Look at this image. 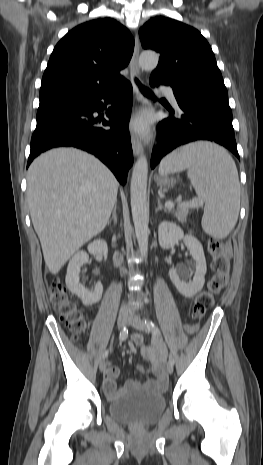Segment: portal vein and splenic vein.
I'll return each instance as SVG.
<instances>
[{
  "instance_id": "portal-vein-and-splenic-vein-1",
  "label": "portal vein and splenic vein",
  "mask_w": 263,
  "mask_h": 465,
  "mask_svg": "<svg viewBox=\"0 0 263 465\" xmlns=\"http://www.w3.org/2000/svg\"><path fill=\"white\" fill-rule=\"evenodd\" d=\"M179 205H183V206H186V207H190V208H196V207H199L201 204L197 201H189V202H184V203H179ZM175 206V204L173 202H166L165 203V207L169 210L173 209Z\"/></svg>"
}]
</instances>
